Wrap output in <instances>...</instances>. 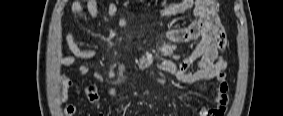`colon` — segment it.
Instances as JSON below:
<instances>
[{
	"instance_id": "obj_1",
	"label": "colon",
	"mask_w": 283,
	"mask_h": 116,
	"mask_svg": "<svg viewBox=\"0 0 283 116\" xmlns=\"http://www.w3.org/2000/svg\"><path fill=\"white\" fill-rule=\"evenodd\" d=\"M226 106H227L226 104L221 105V106L217 109L216 114H217V115L223 114L224 111H225V109H226Z\"/></svg>"
}]
</instances>
